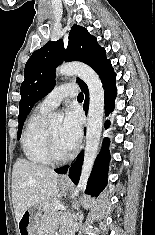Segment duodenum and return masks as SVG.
<instances>
[{
	"mask_svg": "<svg viewBox=\"0 0 155 235\" xmlns=\"http://www.w3.org/2000/svg\"><path fill=\"white\" fill-rule=\"evenodd\" d=\"M64 235H69V234L65 232Z\"/></svg>",
	"mask_w": 155,
	"mask_h": 235,
	"instance_id": "410a0bca",
	"label": "duodenum"
}]
</instances>
